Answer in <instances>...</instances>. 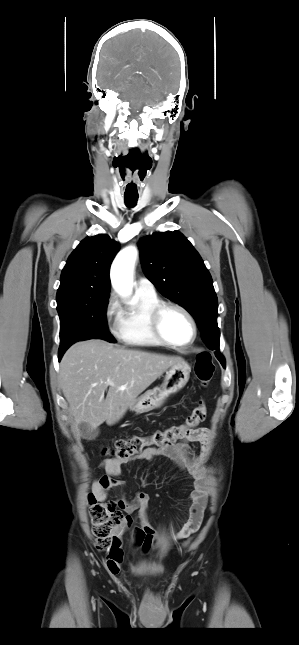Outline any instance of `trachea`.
<instances>
[{
  "label": "trachea",
  "instance_id": "1",
  "mask_svg": "<svg viewBox=\"0 0 299 645\" xmlns=\"http://www.w3.org/2000/svg\"><path fill=\"white\" fill-rule=\"evenodd\" d=\"M124 200L128 208H133L137 204L138 196H124Z\"/></svg>",
  "mask_w": 299,
  "mask_h": 645
}]
</instances>
